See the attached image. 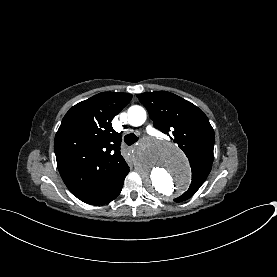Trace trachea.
I'll list each match as a JSON object with an SVG mask.
<instances>
[{"label":"trachea","mask_w":277,"mask_h":277,"mask_svg":"<svg viewBox=\"0 0 277 277\" xmlns=\"http://www.w3.org/2000/svg\"><path fill=\"white\" fill-rule=\"evenodd\" d=\"M139 137H137L135 134L130 133L124 136V141L126 143V145L130 146L133 145L134 143H136L138 141Z\"/></svg>","instance_id":"trachea-1"}]
</instances>
